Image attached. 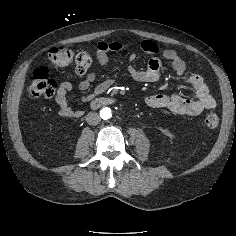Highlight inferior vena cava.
<instances>
[{"label": "inferior vena cava", "instance_id": "602c4592", "mask_svg": "<svg viewBox=\"0 0 236 236\" xmlns=\"http://www.w3.org/2000/svg\"><path fill=\"white\" fill-rule=\"evenodd\" d=\"M86 121L89 125H97L101 121V118L99 114L95 112H89L86 116Z\"/></svg>", "mask_w": 236, "mask_h": 236}]
</instances>
